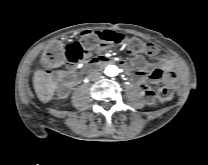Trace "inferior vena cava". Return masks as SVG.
I'll return each instance as SVG.
<instances>
[{"label":"inferior vena cava","mask_w":208,"mask_h":165,"mask_svg":"<svg viewBox=\"0 0 208 165\" xmlns=\"http://www.w3.org/2000/svg\"><path fill=\"white\" fill-rule=\"evenodd\" d=\"M89 77L92 80H98L101 78V73L100 72H93L89 75Z\"/></svg>","instance_id":"obj_1"}]
</instances>
